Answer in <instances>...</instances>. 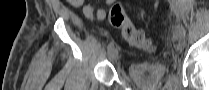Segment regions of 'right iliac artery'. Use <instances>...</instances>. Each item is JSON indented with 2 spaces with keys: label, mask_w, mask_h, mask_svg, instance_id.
Wrapping results in <instances>:
<instances>
[{
  "label": "right iliac artery",
  "mask_w": 209,
  "mask_h": 90,
  "mask_svg": "<svg viewBox=\"0 0 209 90\" xmlns=\"http://www.w3.org/2000/svg\"><path fill=\"white\" fill-rule=\"evenodd\" d=\"M114 48V42H110L107 49H108V52L111 51L112 49Z\"/></svg>",
  "instance_id": "1"
}]
</instances>
